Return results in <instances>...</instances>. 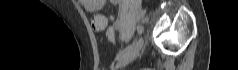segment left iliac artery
I'll use <instances>...</instances> for the list:
<instances>
[{
    "label": "left iliac artery",
    "mask_w": 238,
    "mask_h": 70,
    "mask_svg": "<svg viewBox=\"0 0 238 70\" xmlns=\"http://www.w3.org/2000/svg\"><path fill=\"white\" fill-rule=\"evenodd\" d=\"M138 33L141 34L142 33V28L141 27H138ZM134 42L133 43H130L127 48H123V50L121 52H119L116 56V60H119L121 59L122 57H124L128 52L129 50H131L133 47H134Z\"/></svg>",
    "instance_id": "obj_1"
}]
</instances>
